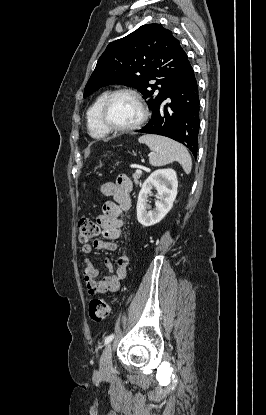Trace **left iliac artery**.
I'll list each match as a JSON object with an SVG mask.
<instances>
[{"instance_id": "44dca946", "label": "left iliac artery", "mask_w": 266, "mask_h": 415, "mask_svg": "<svg viewBox=\"0 0 266 415\" xmlns=\"http://www.w3.org/2000/svg\"><path fill=\"white\" fill-rule=\"evenodd\" d=\"M113 338H114V334H110L109 336H107V337L105 338V342H104V344H105V345L109 344V343L113 340Z\"/></svg>"}]
</instances>
